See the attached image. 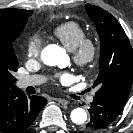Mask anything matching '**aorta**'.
Here are the masks:
<instances>
[{
  "label": "aorta",
  "mask_w": 133,
  "mask_h": 133,
  "mask_svg": "<svg viewBox=\"0 0 133 133\" xmlns=\"http://www.w3.org/2000/svg\"><path fill=\"white\" fill-rule=\"evenodd\" d=\"M41 59L46 65L65 67L68 64L69 57L63 48L52 44L43 49ZM70 118L73 123L81 125L86 122L87 113L83 108H75L72 110Z\"/></svg>",
  "instance_id": "762f6f07"
}]
</instances>
